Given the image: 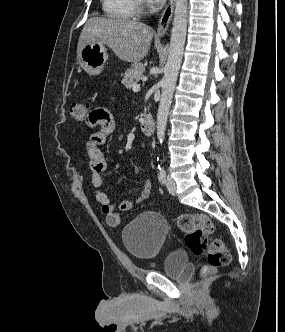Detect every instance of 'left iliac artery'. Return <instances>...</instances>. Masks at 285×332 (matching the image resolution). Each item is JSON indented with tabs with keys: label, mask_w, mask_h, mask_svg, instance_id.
Returning <instances> with one entry per match:
<instances>
[{
	"label": "left iliac artery",
	"mask_w": 285,
	"mask_h": 332,
	"mask_svg": "<svg viewBox=\"0 0 285 332\" xmlns=\"http://www.w3.org/2000/svg\"><path fill=\"white\" fill-rule=\"evenodd\" d=\"M158 168H159L160 180L162 181V183H166V171H165L164 167L158 165Z\"/></svg>",
	"instance_id": "left-iliac-artery-1"
}]
</instances>
